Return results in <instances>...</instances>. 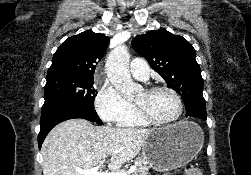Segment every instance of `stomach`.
<instances>
[{
    "label": "stomach",
    "instance_id": "1",
    "mask_svg": "<svg viewBox=\"0 0 251 175\" xmlns=\"http://www.w3.org/2000/svg\"><path fill=\"white\" fill-rule=\"evenodd\" d=\"M204 143V133L195 121H178L161 129H151L142 157L156 171H171L192 161Z\"/></svg>",
    "mask_w": 251,
    "mask_h": 175
}]
</instances>
